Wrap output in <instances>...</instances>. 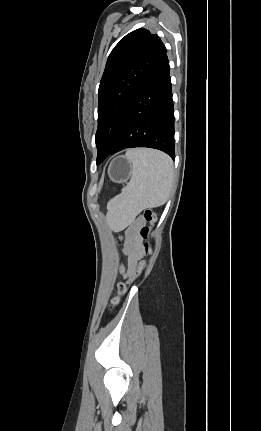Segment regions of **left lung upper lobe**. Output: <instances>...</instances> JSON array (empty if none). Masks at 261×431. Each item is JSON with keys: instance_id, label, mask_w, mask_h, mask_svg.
Wrapping results in <instances>:
<instances>
[{"instance_id": "obj_1", "label": "left lung upper lobe", "mask_w": 261, "mask_h": 431, "mask_svg": "<svg viewBox=\"0 0 261 431\" xmlns=\"http://www.w3.org/2000/svg\"><path fill=\"white\" fill-rule=\"evenodd\" d=\"M166 52L156 34L140 28L123 37L110 53L98 92L97 164L109 155L133 98Z\"/></svg>"}]
</instances>
